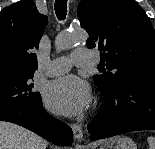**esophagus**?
<instances>
[{"label": "esophagus", "mask_w": 155, "mask_h": 149, "mask_svg": "<svg viewBox=\"0 0 155 149\" xmlns=\"http://www.w3.org/2000/svg\"><path fill=\"white\" fill-rule=\"evenodd\" d=\"M71 128L73 131L74 138L77 140H81L83 137V131L81 126L78 124H71Z\"/></svg>", "instance_id": "34e87169"}]
</instances>
